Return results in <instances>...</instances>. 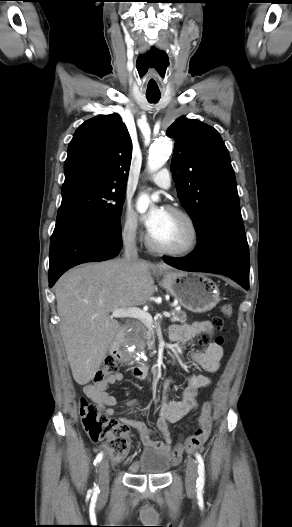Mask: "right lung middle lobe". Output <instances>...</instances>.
<instances>
[{"mask_svg": "<svg viewBox=\"0 0 292 527\" xmlns=\"http://www.w3.org/2000/svg\"><path fill=\"white\" fill-rule=\"evenodd\" d=\"M125 190L86 181L65 183L57 220L68 218L89 221L121 233Z\"/></svg>", "mask_w": 292, "mask_h": 527, "instance_id": "right-lung-middle-lobe-1", "label": "right lung middle lobe"}]
</instances>
